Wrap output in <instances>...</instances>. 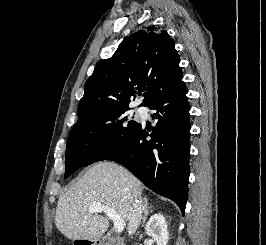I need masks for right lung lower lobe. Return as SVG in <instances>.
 <instances>
[{
  "label": "right lung lower lobe",
  "instance_id": "obj_1",
  "mask_svg": "<svg viewBox=\"0 0 266 245\" xmlns=\"http://www.w3.org/2000/svg\"><path fill=\"white\" fill-rule=\"evenodd\" d=\"M183 81L152 100L147 107L156 126H139L132 141L106 160L121 163L157 194L177 203L184 215L189 180V111ZM147 137H151L150 140Z\"/></svg>",
  "mask_w": 266,
  "mask_h": 245
}]
</instances>
